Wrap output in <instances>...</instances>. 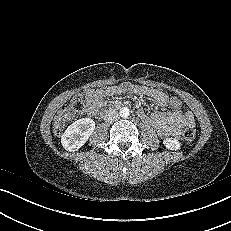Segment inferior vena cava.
Wrapping results in <instances>:
<instances>
[{
	"mask_svg": "<svg viewBox=\"0 0 231 231\" xmlns=\"http://www.w3.org/2000/svg\"><path fill=\"white\" fill-rule=\"evenodd\" d=\"M119 113L115 109H109L104 113V120L106 122H114L119 119Z\"/></svg>",
	"mask_w": 231,
	"mask_h": 231,
	"instance_id": "obj_1",
	"label": "inferior vena cava"
}]
</instances>
